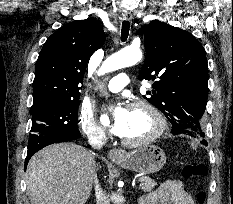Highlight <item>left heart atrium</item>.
Instances as JSON below:
<instances>
[{
	"label": "left heart atrium",
	"instance_id": "left-heart-atrium-1",
	"mask_svg": "<svg viewBox=\"0 0 233 204\" xmlns=\"http://www.w3.org/2000/svg\"><path fill=\"white\" fill-rule=\"evenodd\" d=\"M111 126L110 131L115 135H121L128 116V110L121 105H117L110 110Z\"/></svg>",
	"mask_w": 233,
	"mask_h": 204
}]
</instances>
